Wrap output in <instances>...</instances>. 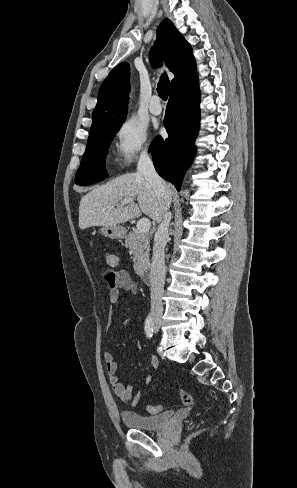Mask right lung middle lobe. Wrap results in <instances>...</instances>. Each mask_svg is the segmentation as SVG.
<instances>
[{
  "mask_svg": "<svg viewBox=\"0 0 297 488\" xmlns=\"http://www.w3.org/2000/svg\"><path fill=\"white\" fill-rule=\"evenodd\" d=\"M120 126H105L91 132L81 165L75 176V183L88 185L103 180L107 175L104 173V157L107 154L109 144L119 131Z\"/></svg>",
  "mask_w": 297,
  "mask_h": 488,
  "instance_id": "1",
  "label": "right lung middle lobe"
}]
</instances>
